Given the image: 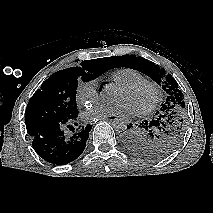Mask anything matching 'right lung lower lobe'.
Returning a JSON list of instances; mask_svg holds the SVG:
<instances>
[{
    "label": "right lung lower lobe",
    "instance_id": "right-lung-lower-lobe-1",
    "mask_svg": "<svg viewBox=\"0 0 213 213\" xmlns=\"http://www.w3.org/2000/svg\"><path fill=\"white\" fill-rule=\"evenodd\" d=\"M77 117L78 114L71 119L47 124L33 133L31 137L35 152L54 165H66L77 159L85 149L92 128V125H87L75 131L70 124L77 126ZM65 127L72 129V133H67Z\"/></svg>",
    "mask_w": 213,
    "mask_h": 213
}]
</instances>
